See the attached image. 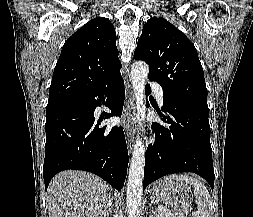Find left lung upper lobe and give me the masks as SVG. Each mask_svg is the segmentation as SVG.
Returning <instances> with one entry per match:
<instances>
[{"label":"left lung upper lobe","instance_id":"obj_1","mask_svg":"<svg viewBox=\"0 0 253 217\" xmlns=\"http://www.w3.org/2000/svg\"><path fill=\"white\" fill-rule=\"evenodd\" d=\"M149 64V79L163 88L166 100L190 103L208 109L204 73L193 43L161 17L144 25L134 52Z\"/></svg>","mask_w":253,"mask_h":217}]
</instances>
